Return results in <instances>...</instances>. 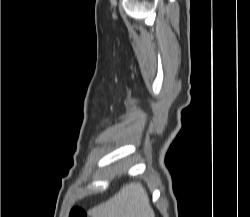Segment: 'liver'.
<instances>
[{"mask_svg": "<svg viewBox=\"0 0 250 217\" xmlns=\"http://www.w3.org/2000/svg\"><path fill=\"white\" fill-rule=\"evenodd\" d=\"M88 213L91 217H155L148 194L140 182L124 185L113 197Z\"/></svg>", "mask_w": 250, "mask_h": 217, "instance_id": "1", "label": "liver"}]
</instances>
